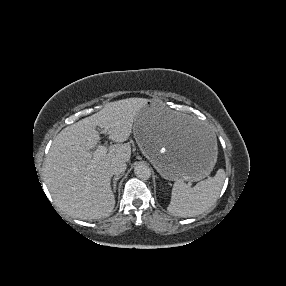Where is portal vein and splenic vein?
Wrapping results in <instances>:
<instances>
[{
	"mask_svg": "<svg viewBox=\"0 0 286 286\" xmlns=\"http://www.w3.org/2000/svg\"><path fill=\"white\" fill-rule=\"evenodd\" d=\"M108 128H104L101 133L107 134ZM107 153V147L104 145H99L97 150L93 153V162L97 161L101 156L105 155Z\"/></svg>",
	"mask_w": 286,
	"mask_h": 286,
	"instance_id": "obj_1",
	"label": "portal vein and splenic vein"
}]
</instances>
